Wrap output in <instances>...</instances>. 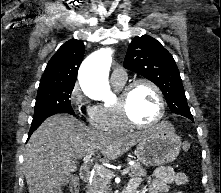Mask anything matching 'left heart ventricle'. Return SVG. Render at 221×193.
Returning a JSON list of instances; mask_svg holds the SVG:
<instances>
[{"mask_svg": "<svg viewBox=\"0 0 221 193\" xmlns=\"http://www.w3.org/2000/svg\"><path fill=\"white\" fill-rule=\"evenodd\" d=\"M159 110L158 98L147 85L135 87L129 100V111L132 118L139 123H150Z\"/></svg>", "mask_w": 221, "mask_h": 193, "instance_id": "b2bd125f", "label": "left heart ventricle"}]
</instances>
